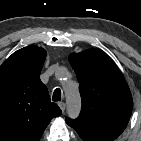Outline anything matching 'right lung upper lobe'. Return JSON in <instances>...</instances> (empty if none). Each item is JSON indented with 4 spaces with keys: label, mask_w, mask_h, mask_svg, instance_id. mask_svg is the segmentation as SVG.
<instances>
[{
    "label": "right lung upper lobe",
    "mask_w": 141,
    "mask_h": 141,
    "mask_svg": "<svg viewBox=\"0 0 141 141\" xmlns=\"http://www.w3.org/2000/svg\"><path fill=\"white\" fill-rule=\"evenodd\" d=\"M46 51L27 46L0 67V141H39L51 119L61 115L40 71Z\"/></svg>",
    "instance_id": "1"
}]
</instances>
